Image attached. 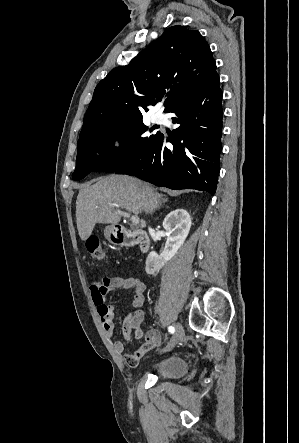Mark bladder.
<instances>
[{
	"label": "bladder",
	"instance_id": "31cf9c89",
	"mask_svg": "<svg viewBox=\"0 0 299 443\" xmlns=\"http://www.w3.org/2000/svg\"><path fill=\"white\" fill-rule=\"evenodd\" d=\"M187 361L180 356H168L152 365L151 373L161 379L174 380L186 374Z\"/></svg>",
	"mask_w": 299,
	"mask_h": 443
}]
</instances>
